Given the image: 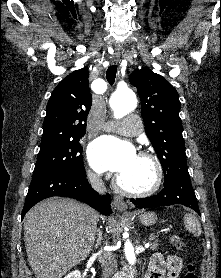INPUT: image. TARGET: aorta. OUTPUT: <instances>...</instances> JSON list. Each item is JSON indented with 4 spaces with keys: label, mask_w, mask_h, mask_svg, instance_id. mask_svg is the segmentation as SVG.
I'll return each instance as SVG.
<instances>
[{
    "label": "aorta",
    "mask_w": 221,
    "mask_h": 278,
    "mask_svg": "<svg viewBox=\"0 0 221 278\" xmlns=\"http://www.w3.org/2000/svg\"><path fill=\"white\" fill-rule=\"evenodd\" d=\"M110 105L114 112V117L117 119L122 118L135 109L137 105L136 95L129 89L123 92H115L110 99ZM124 253L129 264L133 265L136 261V255L129 240L124 243Z\"/></svg>",
    "instance_id": "obj_1"
}]
</instances>
